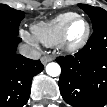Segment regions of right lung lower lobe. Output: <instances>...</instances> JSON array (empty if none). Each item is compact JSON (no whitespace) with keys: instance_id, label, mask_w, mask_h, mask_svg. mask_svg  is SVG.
<instances>
[{"instance_id":"98d812e1","label":"right lung lower lobe","mask_w":107,"mask_h":107,"mask_svg":"<svg viewBox=\"0 0 107 107\" xmlns=\"http://www.w3.org/2000/svg\"><path fill=\"white\" fill-rule=\"evenodd\" d=\"M19 37H0V107H22L29 99L32 78L44 66L16 54Z\"/></svg>"}]
</instances>
